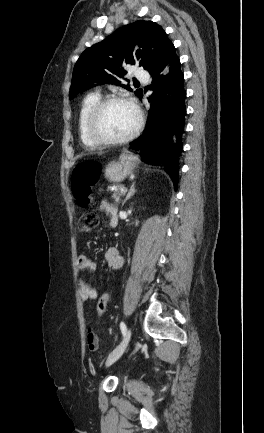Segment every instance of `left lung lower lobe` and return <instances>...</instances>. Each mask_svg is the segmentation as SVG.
Masks as SVG:
<instances>
[{"mask_svg": "<svg viewBox=\"0 0 264 433\" xmlns=\"http://www.w3.org/2000/svg\"><path fill=\"white\" fill-rule=\"evenodd\" d=\"M153 78V94L144 133L130 143L147 162L162 165L174 181H178L181 136L186 114L184 75L175 50L169 53L158 67L149 72ZM142 96L139 99H142Z\"/></svg>", "mask_w": 264, "mask_h": 433, "instance_id": "1", "label": "left lung lower lobe"}]
</instances>
